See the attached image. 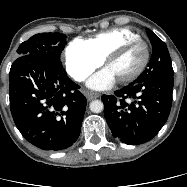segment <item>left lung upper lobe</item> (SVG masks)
Listing matches in <instances>:
<instances>
[{"label": "left lung upper lobe", "instance_id": "obj_1", "mask_svg": "<svg viewBox=\"0 0 187 187\" xmlns=\"http://www.w3.org/2000/svg\"><path fill=\"white\" fill-rule=\"evenodd\" d=\"M152 44V56L148 67L132 84L142 83L157 78L173 77L174 71L171 58L165 43L158 38L151 30L146 29Z\"/></svg>", "mask_w": 187, "mask_h": 187}]
</instances>
